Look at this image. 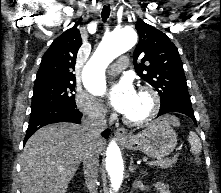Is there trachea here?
<instances>
[{
	"mask_svg": "<svg viewBox=\"0 0 221 193\" xmlns=\"http://www.w3.org/2000/svg\"><path fill=\"white\" fill-rule=\"evenodd\" d=\"M109 15H110V5H104L102 12H101V17L103 21H106Z\"/></svg>",
	"mask_w": 221,
	"mask_h": 193,
	"instance_id": "1",
	"label": "trachea"
}]
</instances>
